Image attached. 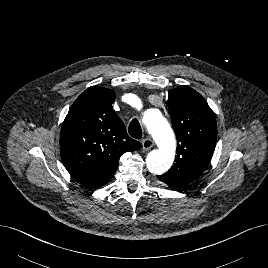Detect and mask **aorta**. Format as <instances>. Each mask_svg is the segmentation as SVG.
<instances>
[{"mask_svg": "<svg viewBox=\"0 0 268 268\" xmlns=\"http://www.w3.org/2000/svg\"><path fill=\"white\" fill-rule=\"evenodd\" d=\"M143 122L159 147L147 155L146 166L153 174H163L170 169L174 161L176 150L174 133L158 110H147Z\"/></svg>", "mask_w": 268, "mask_h": 268, "instance_id": "aorta-1", "label": "aorta"}]
</instances>
